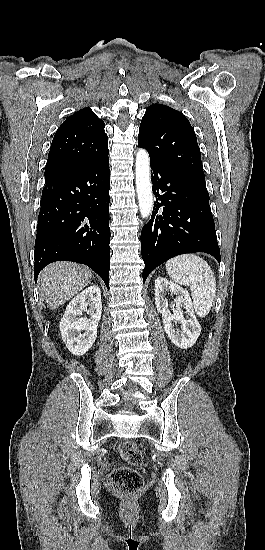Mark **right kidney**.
Segmentation results:
<instances>
[{
	"label": "right kidney",
	"instance_id": "obj_1",
	"mask_svg": "<svg viewBox=\"0 0 265 550\" xmlns=\"http://www.w3.org/2000/svg\"><path fill=\"white\" fill-rule=\"evenodd\" d=\"M101 311V291L97 285L88 287L71 300L61 319L60 332L72 354L83 355L92 347L97 337ZM84 312L88 317H82Z\"/></svg>",
	"mask_w": 265,
	"mask_h": 550
}]
</instances>
